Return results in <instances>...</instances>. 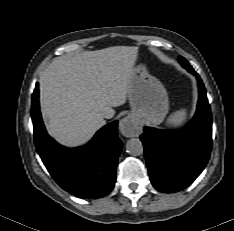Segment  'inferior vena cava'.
Instances as JSON below:
<instances>
[{"label": "inferior vena cava", "mask_w": 234, "mask_h": 231, "mask_svg": "<svg viewBox=\"0 0 234 231\" xmlns=\"http://www.w3.org/2000/svg\"><path fill=\"white\" fill-rule=\"evenodd\" d=\"M112 116H113V114H110V113H108V112L105 113V117H106V118H111Z\"/></svg>", "instance_id": "602c4592"}]
</instances>
